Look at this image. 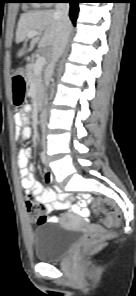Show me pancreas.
<instances>
[{
  "instance_id": "cf45deb5",
  "label": "pancreas",
  "mask_w": 136,
  "mask_h": 296,
  "mask_svg": "<svg viewBox=\"0 0 136 296\" xmlns=\"http://www.w3.org/2000/svg\"><path fill=\"white\" fill-rule=\"evenodd\" d=\"M34 68H35V63L32 60V62L26 66V79H27L28 85H32V84L35 85L36 94L39 96L43 91L42 73L40 72L36 74L34 71Z\"/></svg>"
}]
</instances>
